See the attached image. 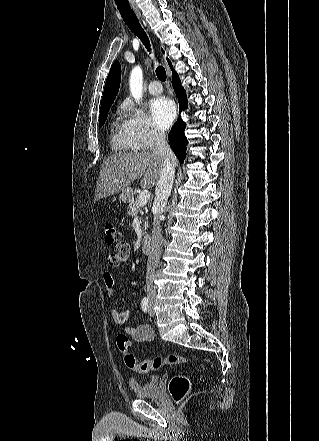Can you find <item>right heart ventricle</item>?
Listing matches in <instances>:
<instances>
[{"label": "right heart ventricle", "mask_w": 319, "mask_h": 441, "mask_svg": "<svg viewBox=\"0 0 319 441\" xmlns=\"http://www.w3.org/2000/svg\"><path fill=\"white\" fill-rule=\"evenodd\" d=\"M110 142L113 150L118 152H129L133 150L126 138L124 123L119 119L113 121L110 133Z\"/></svg>", "instance_id": "right-heart-ventricle-1"}]
</instances>
